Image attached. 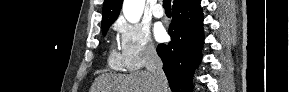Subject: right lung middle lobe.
Masks as SVG:
<instances>
[{
  "label": "right lung middle lobe",
  "mask_w": 289,
  "mask_h": 92,
  "mask_svg": "<svg viewBox=\"0 0 289 92\" xmlns=\"http://www.w3.org/2000/svg\"><path fill=\"white\" fill-rule=\"evenodd\" d=\"M109 27H110V25L105 26V27L102 28V34H103V36H105V34L107 33Z\"/></svg>",
  "instance_id": "obj_1"
}]
</instances>
